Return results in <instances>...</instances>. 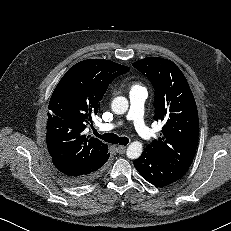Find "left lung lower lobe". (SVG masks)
<instances>
[{"label":"left lung lower lobe","mask_w":231,"mask_h":231,"mask_svg":"<svg viewBox=\"0 0 231 231\" xmlns=\"http://www.w3.org/2000/svg\"><path fill=\"white\" fill-rule=\"evenodd\" d=\"M134 166L144 179L157 187H164L179 180L189 169L159 160L145 150L134 160Z\"/></svg>","instance_id":"1"}]
</instances>
